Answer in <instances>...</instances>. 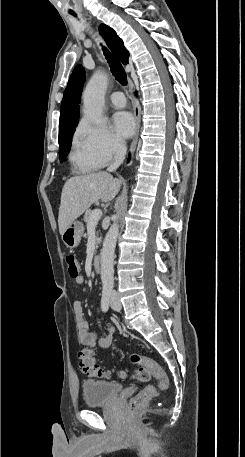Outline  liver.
<instances>
[{"instance_id":"liver-1","label":"liver","mask_w":245,"mask_h":457,"mask_svg":"<svg viewBox=\"0 0 245 457\" xmlns=\"http://www.w3.org/2000/svg\"><path fill=\"white\" fill-rule=\"evenodd\" d=\"M119 178L109 172H91L85 176H71L66 180L59 206V233L66 231L68 224L83 214L95 200L109 202L120 190Z\"/></svg>"}]
</instances>
